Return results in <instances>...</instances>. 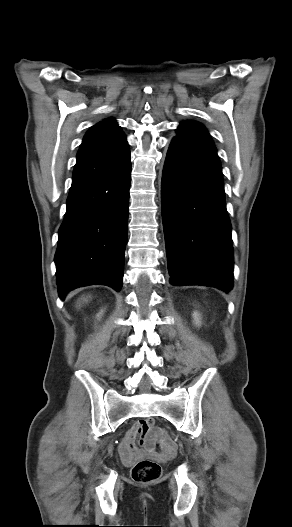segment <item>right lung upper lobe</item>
I'll list each match as a JSON object with an SVG mask.
<instances>
[{"instance_id": "1", "label": "right lung upper lobe", "mask_w": 292, "mask_h": 527, "mask_svg": "<svg viewBox=\"0 0 292 527\" xmlns=\"http://www.w3.org/2000/svg\"><path fill=\"white\" fill-rule=\"evenodd\" d=\"M126 141V136L115 119L107 118L91 127L84 136L80 150L107 149L117 147Z\"/></svg>"}]
</instances>
